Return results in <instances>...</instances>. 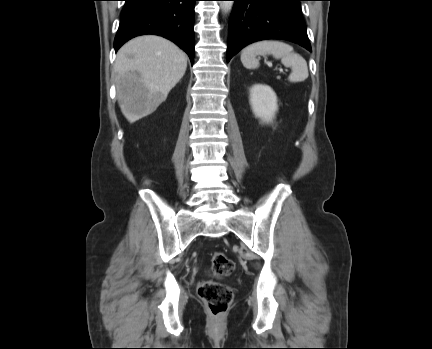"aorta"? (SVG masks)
Masks as SVG:
<instances>
[{"label":"aorta","mask_w":432,"mask_h":349,"mask_svg":"<svg viewBox=\"0 0 432 349\" xmlns=\"http://www.w3.org/2000/svg\"><path fill=\"white\" fill-rule=\"evenodd\" d=\"M233 1H221V7L224 13L229 12L233 7Z\"/></svg>","instance_id":"762f6f07"}]
</instances>
